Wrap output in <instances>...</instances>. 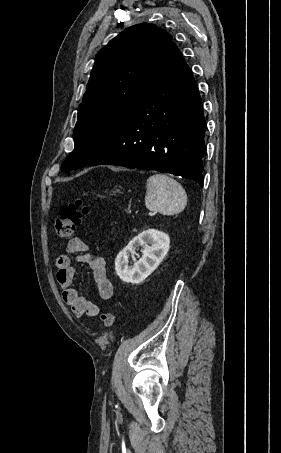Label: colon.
<instances>
[{
	"label": "colon",
	"mask_w": 281,
	"mask_h": 453,
	"mask_svg": "<svg viewBox=\"0 0 281 453\" xmlns=\"http://www.w3.org/2000/svg\"><path fill=\"white\" fill-rule=\"evenodd\" d=\"M88 198H78L73 202L61 205L60 215L55 220V232L60 238L70 237L77 227H79L87 213ZM115 312L108 308L100 315V327L109 330L114 326Z\"/></svg>",
	"instance_id": "colon-1"
}]
</instances>
